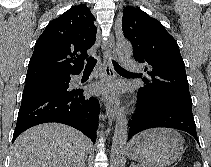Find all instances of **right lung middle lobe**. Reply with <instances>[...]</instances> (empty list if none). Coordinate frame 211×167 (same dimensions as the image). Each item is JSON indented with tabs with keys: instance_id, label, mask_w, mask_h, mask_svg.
Returning <instances> with one entry per match:
<instances>
[{
	"instance_id": "dd1d6c3e",
	"label": "right lung middle lobe",
	"mask_w": 211,
	"mask_h": 167,
	"mask_svg": "<svg viewBox=\"0 0 211 167\" xmlns=\"http://www.w3.org/2000/svg\"><path fill=\"white\" fill-rule=\"evenodd\" d=\"M69 76H50L26 81L23 94L45 91H66L69 89Z\"/></svg>"
}]
</instances>
